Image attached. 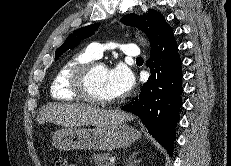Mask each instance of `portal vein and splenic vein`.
Instances as JSON below:
<instances>
[{
	"label": "portal vein and splenic vein",
	"mask_w": 231,
	"mask_h": 166,
	"mask_svg": "<svg viewBox=\"0 0 231 166\" xmlns=\"http://www.w3.org/2000/svg\"><path fill=\"white\" fill-rule=\"evenodd\" d=\"M109 161H110L111 163H113V164H114V162H115V157H111V158H109Z\"/></svg>",
	"instance_id": "1"
}]
</instances>
